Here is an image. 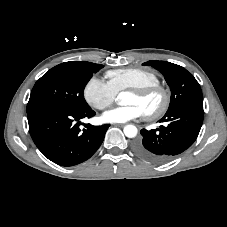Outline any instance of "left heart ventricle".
Masks as SVG:
<instances>
[{"mask_svg":"<svg viewBox=\"0 0 227 227\" xmlns=\"http://www.w3.org/2000/svg\"><path fill=\"white\" fill-rule=\"evenodd\" d=\"M161 102V98L158 94L146 97L139 98L132 93H127L123 98V103L125 105L133 104L141 108L143 113H148L155 110Z\"/></svg>","mask_w":227,"mask_h":227,"instance_id":"1","label":"left heart ventricle"}]
</instances>
